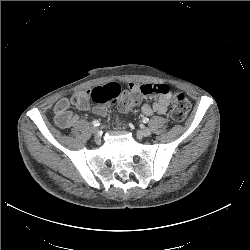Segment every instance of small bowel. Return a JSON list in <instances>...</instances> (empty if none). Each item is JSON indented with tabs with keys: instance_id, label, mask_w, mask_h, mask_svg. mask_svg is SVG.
Returning <instances> with one entry per match:
<instances>
[{
	"instance_id": "obj_1",
	"label": "small bowel",
	"mask_w": 250,
	"mask_h": 250,
	"mask_svg": "<svg viewBox=\"0 0 250 250\" xmlns=\"http://www.w3.org/2000/svg\"><path fill=\"white\" fill-rule=\"evenodd\" d=\"M131 91L139 92L150 102L145 103L141 107L144 115L151 116L155 113L165 114L168 110L171 98L170 88L166 84H137L130 83ZM91 91H80L72 95L70 98H61L54 106V120L58 127L65 129L72 127L77 121L78 116L69 109L73 105L79 110H91L94 114L105 116L107 109L102 105H90Z\"/></svg>"
}]
</instances>
